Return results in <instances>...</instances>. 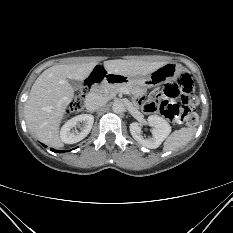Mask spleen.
<instances>
[{
  "mask_svg": "<svg viewBox=\"0 0 233 233\" xmlns=\"http://www.w3.org/2000/svg\"><path fill=\"white\" fill-rule=\"evenodd\" d=\"M196 133L195 128H181L174 131L164 142L163 151H174L186 146Z\"/></svg>",
  "mask_w": 233,
  "mask_h": 233,
  "instance_id": "1",
  "label": "spleen"
}]
</instances>
